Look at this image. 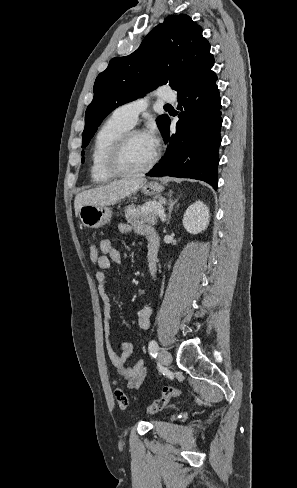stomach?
Returning a JSON list of instances; mask_svg holds the SVG:
<instances>
[{"instance_id":"obj_1","label":"stomach","mask_w":297,"mask_h":488,"mask_svg":"<svg viewBox=\"0 0 297 488\" xmlns=\"http://www.w3.org/2000/svg\"><path fill=\"white\" fill-rule=\"evenodd\" d=\"M164 186L159 182L147 183L142 191L145 195L159 196ZM112 211L108 206L83 205L79 210L82 224L91 229H97L111 220Z\"/></svg>"}]
</instances>
